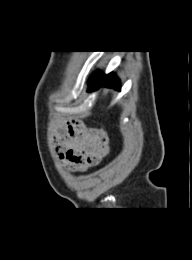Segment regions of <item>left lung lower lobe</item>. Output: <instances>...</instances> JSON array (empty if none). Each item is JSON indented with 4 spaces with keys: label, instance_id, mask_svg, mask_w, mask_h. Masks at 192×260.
Wrapping results in <instances>:
<instances>
[{
    "label": "left lung lower lobe",
    "instance_id": "obj_1",
    "mask_svg": "<svg viewBox=\"0 0 192 260\" xmlns=\"http://www.w3.org/2000/svg\"><path fill=\"white\" fill-rule=\"evenodd\" d=\"M89 84L90 86L88 88V92L97 90L101 86L112 87L114 89L120 90V81L113 73L101 76L95 73L90 78Z\"/></svg>",
    "mask_w": 192,
    "mask_h": 260
}]
</instances>
